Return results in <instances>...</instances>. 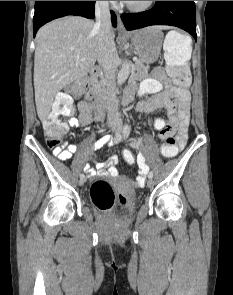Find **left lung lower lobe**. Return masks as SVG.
I'll return each instance as SVG.
<instances>
[{
    "mask_svg": "<svg viewBox=\"0 0 233 295\" xmlns=\"http://www.w3.org/2000/svg\"><path fill=\"white\" fill-rule=\"evenodd\" d=\"M121 19L127 30L150 25H172L184 29L197 40L194 1H156L152 9L122 14Z\"/></svg>",
    "mask_w": 233,
    "mask_h": 295,
    "instance_id": "1",
    "label": "left lung lower lobe"
}]
</instances>
